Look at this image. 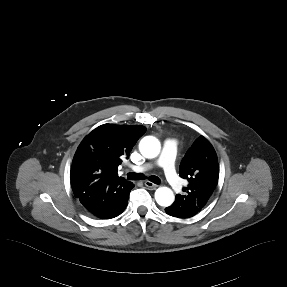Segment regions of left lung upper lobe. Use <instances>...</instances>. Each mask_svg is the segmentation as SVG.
Masks as SVG:
<instances>
[{
    "label": "left lung upper lobe",
    "mask_w": 287,
    "mask_h": 287,
    "mask_svg": "<svg viewBox=\"0 0 287 287\" xmlns=\"http://www.w3.org/2000/svg\"><path fill=\"white\" fill-rule=\"evenodd\" d=\"M179 175L189 184L183 195H176L184 208L200 211L212 195L219 177L216 152L203 136L195 140L183 158Z\"/></svg>",
    "instance_id": "1"
}]
</instances>
